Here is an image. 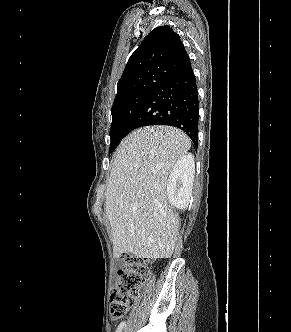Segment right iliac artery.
I'll list each match as a JSON object with an SVG mask.
<instances>
[{"mask_svg": "<svg viewBox=\"0 0 291 332\" xmlns=\"http://www.w3.org/2000/svg\"><path fill=\"white\" fill-rule=\"evenodd\" d=\"M124 326H125V321H123V322L120 323V325L118 326L116 332H122Z\"/></svg>", "mask_w": 291, "mask_h": 332, "instance_id": "82829eb1", "label": "right iliac artery"}]
</instances>
